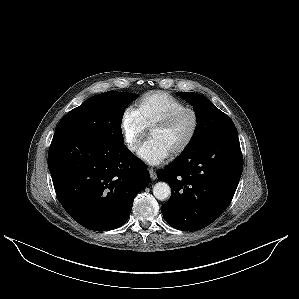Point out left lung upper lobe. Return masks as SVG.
<instances>
[{"instance_id":"5c2ea615","label":"left lung upper lobe","mask_w":299,"mask_h":299,"mask_svg":"<svg viewBox=\"0 0 299 299\" xmlns=\"http://www.w3.org/2000/svg\"><path fill=\"white\" fill-rule=\"evenodd\" d=\"M178 95L193 105L197 116L194 135L180 155L200 150L216 137L236 128L230 117L204 96L194 92H178Z\"/></svg>"}]
</instances>
